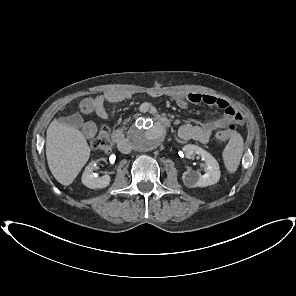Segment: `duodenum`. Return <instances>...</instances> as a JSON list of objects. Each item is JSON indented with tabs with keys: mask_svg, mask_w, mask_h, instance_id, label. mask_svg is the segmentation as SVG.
Here are the masks:
<instances>
[{
	"mask_svg": "<svg viewBox=\"0 0 296 296\" xmlns=\"http://www.w3.org/2000/svg\"><path fill=\"white\" fill-rule=\"evenodd\" d=\"M156 120L163 126H169V119L163 115H156ZM113 142L117 145L121 152H127L129 150V143L122 130H116L112 136Z\"/></svg>",
	"mask_w": 296,
	"mask_h": 296,
	"instance_id": "1",
	"label": "duodenum"
}]
</instances>
